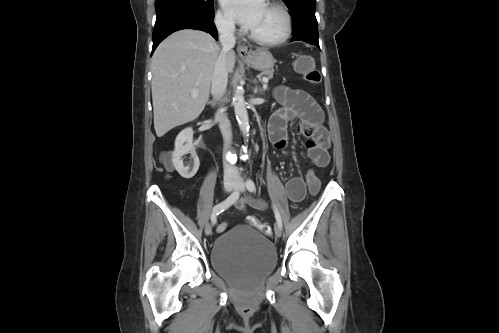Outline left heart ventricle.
<instances>
[{"mask_svg": "<svg viewBox=\"0 0 499 333\" xmlns=\"http://www.w3.org/2000/svg\"><path fill=\"white\" fill-rule=\"evenodd\" d=\"M250 30L261 39H276L284 31V18L280 11L266 6Z\"/></svg>", "mask_w": 499, "mask_h": 333, "instance_id": "obj_1", "label": "left heart ventricle"}]
</instances>
